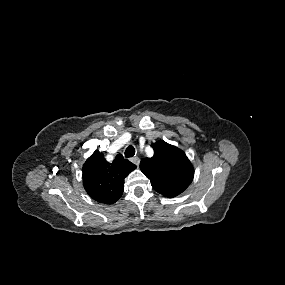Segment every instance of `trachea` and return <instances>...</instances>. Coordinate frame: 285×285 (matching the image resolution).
Here are the masks:
<instances>
[{
  "instance_id": "3493384b",
  "label": "trachea",
  "mask_w": 285,
  "mask_h": 285,
  "mask_svg": "<svg viewBox=\"0 0 285 285\" xmlns=\"http://www.w3.org/2000/svg\"><path fill=\"white\" fill-rule=\"evenodd\" d=\"M135 155V148L132 145H129L125 150V157L130 158Z\"/></svg>"
}]
</instances>
